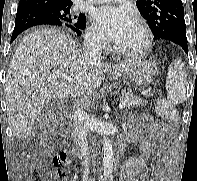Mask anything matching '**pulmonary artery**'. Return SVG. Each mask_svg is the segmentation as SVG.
Returning a JSON list of instances; mask_svg holds the SVG:
<instances>
[{"instance_id":"obj_1","label":"pulmonary artery","mask_w":197,"mask_h":181,"mask_svg":"<svg viewBox=\"0 0 197 181\" xmlns=\"http://www.w3.org/2000/svg\"><path fill=\"white\" fill-rule=\"evenodd\" d=\"M122 0H85L86 3H108V2H116Z\"/></svg>"}]
</instances>
